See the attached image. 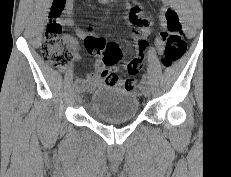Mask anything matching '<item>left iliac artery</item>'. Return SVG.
<instances>
[{"label": "left iliac artery", "mask_w": 231, "mask_h": 177, "mask_svg": "<svg viewBox=\"0 0 231 177\" xmlns=\"http://www.w3.org/2000/svg\"><path fill=\"white\" fill-rule=\"evenodd\" d=\"M143 79L148 82L151 81L150 77L147 74H143Z\"/></svg>", "instance_id": "left-iliac-artery-1"}]
</instances>
